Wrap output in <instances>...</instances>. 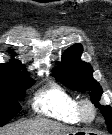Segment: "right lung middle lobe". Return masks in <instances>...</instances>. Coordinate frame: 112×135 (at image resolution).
<instances>
[{
	"label": "right lung middle lobe",
	"mask_w": 112,
	"mask_h": 135,
	"mask_svg": "<svg viewBox=\"0 0 112 135\" xmlns=\"http://www.w3.org/2000/svg\"><path fill=\"white\" fill-rule=\"evenodd\" d=\"M33 83V79H26L22 76H9L0 79V122L9 121L21 110L18 100L25 97V90ZM1 126L3 124H0Z\"/></svg>",
	"instance_id": "right-lung-middle-lobe-1"
}]
</instances>
